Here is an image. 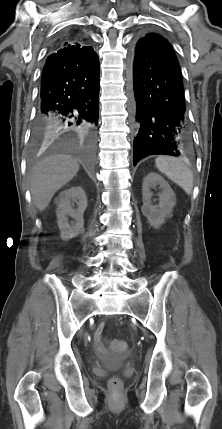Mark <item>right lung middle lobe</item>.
<instances>
[{"label":"right lung middle lobe","instance_id":"1","mask_svg":"<svg viewBox=\"0 0 222 429\" xmlns=\"http://www.w3.org/2000/svg\"><path fill=\"white\" fill-rule=\"evenodd\" d=\"M52 136H53L52 133L47 132V131H45L43 129H36V130H34L33 134H32L33 147L34 148L38 147L43 142H46Z\"/></svg>","mask_w":222,"mask_h":429}]
</instances>
